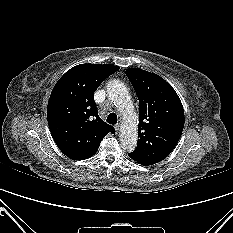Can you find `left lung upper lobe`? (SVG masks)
I'll list each match as a JSON object with an SVG mask.
<instances>
[{
  "label": "left lung upper lobe",
  "mask_w": 233,
  "mask_h": 233,
  "mask_svg": "<svg viewBox=\"0 0 233 233\" xmlns=\"http://www.w3.org/2000/svg\"><path fill=\"white\" fill-rule=\"evenodd\" d=\"M139 99L137 148L129 157L149 166L175 148L184 127V110L175 90L162 77L139 68L125 71Z\"/></svg>",
  "instance_id": "obj_1"
}]
</instances>
